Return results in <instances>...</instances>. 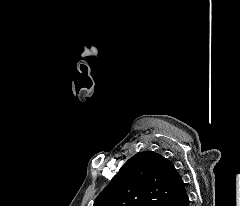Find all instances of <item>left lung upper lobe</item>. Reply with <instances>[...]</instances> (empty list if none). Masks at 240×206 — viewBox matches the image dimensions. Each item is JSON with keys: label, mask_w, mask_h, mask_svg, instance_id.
<instances>
[{"label": "left lung upper lobe", "mask_w": 240, "mask_h": 206, "mask_svg": "<svg viewBox=\"0 0 240 206\" xmlns=\"http://www.w3.org/2000/svg\"><path fill=\"white\" fill-rule=\"evenodd\" d=\"M180 180L167 158L153 151L139 152L123 165L94 206H167Z\"/></svg>", "instance_id": "obj_1"}]
</instances>
